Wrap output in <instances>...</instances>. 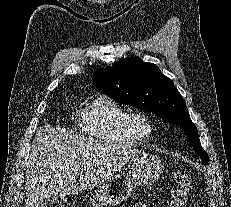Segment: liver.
I'll use <instances>...</instances> for the list:
<instances>
[{"instance_id": "obj_1", "label": "liver", "mask_w": 231, "mask_h": 207, "mask_svg": "<svg viewBox=\"0 0 231 207\" xmlns=\"http://www.w3.org/2000/svg\"><path fill=\"white\" fill-rule=\"evenodd\" d=\"M139 153L122 144L81 138L65 129L43 126L36 131L27 162L25 207H42L50 196L93 189Z\"/></svg>"}]
</instances>
